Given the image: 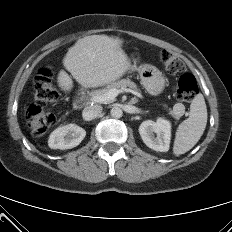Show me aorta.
Returning <instances> with one entry per match:
<instances>
[{
  "instance_id": "obj_1",
  "label": "aorta",
  "mask_w": 232,
  "mask_h": 232,
  "mask_svg": "<svg viewBox=\"0 0 232 232\" xmlns=\"http://www.w3.org/2000/svg\"><path fill=\"white\" fill-rule=\"evenodd\" d=\"M110 113L113 118H120L123 115V112L119 107H113Z\"/></svg>"
}]
</instances>
